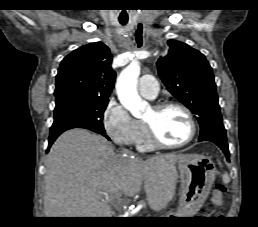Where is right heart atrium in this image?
<instances>
[{"instance_id": "d8ad5b80", "label": "right heart atrium", "mask_w": 258, "mask_h": 227, "mask_svg": "<svg viewBox=\"0 0 258 227\" xmlns=\"http://www.w3.org/2000/svg\"><path fill=\"white\" fill-rule=\"evenodd\" d=\"M103 127L113 142L128 146L136 144L144 130V125L116 101L107 105L103 114Z\"/></svg>"}]
</instances>
